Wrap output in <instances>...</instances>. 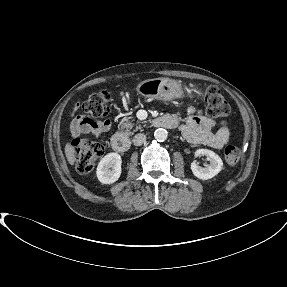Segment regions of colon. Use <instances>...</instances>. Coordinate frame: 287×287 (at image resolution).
Returning <instances> with one entry per match:
<instances>
[{
    "label": "colon",
    "instance_id": "obj_1",
    "mask_svg": "<svg viewBox=\"0 0 287 287\" xmlns=\"http://www.w3.org/2000/svg\"><path fill=\"white\" fill-rule=\"evenodd\" d=\"M206 113L213 118H222L229 114L230 106L216 86H210L205 93ZM83 111L92 118H103L110 114V96L106 91L91 94L81 105ZM76 159V169L81 174L89 173L96 161L103 155L104 146L89 139L75 138L72 141ZM240 149L228 145L224 157L228 164L234 165L240 159Z\"/></svg>",
    "mask_w": 287,
    "mask_h": 287
}]
</instances>
